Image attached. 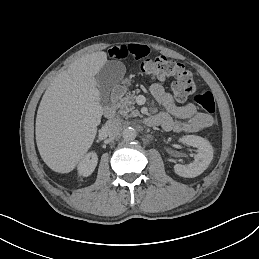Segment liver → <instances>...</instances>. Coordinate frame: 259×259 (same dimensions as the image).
Listing matches in <instances>:
<instances>
[{"mask_svg":"<svg viewBox=\"0 0 259 259\" xmlns=\"http://www.w3.org/2000/svg\"><path fill=\"white\" fill-rule=\"evenodd\" d=\"M107 57L105 51L84 54L54 77L42 97L36 144L44 163L56 173L75 170L94 143L103 115L94 77Z\"/></svg>","mask_w":259,"mask_h":259,"instance_id":"6515ba94","label":"liver"}]
</instances>
